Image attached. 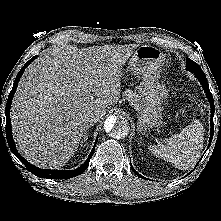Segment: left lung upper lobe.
<instances>
[{"instance_id": "left-lung-upper-lobe-1", "label": "left lung upper lobe", "mask_w": 221, "mask_h": 221, "mask_svg": "<svg viewBox=\"0 0 221 221\" xmlns=\"http://www.w3.org/2000/svg\"><path fill=\"white\" fill-rule=\"evenodd\" d=\"M186 69L190 72L202 71L201 67L189 58L186 59Z\"/></svg>"}]
</instances>
